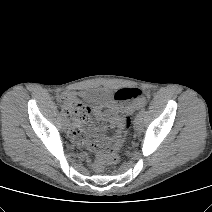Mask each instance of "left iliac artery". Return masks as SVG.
Here are the masks:
<instances>
[{
  "mask_svg": "<svg viewBox=\"0 0 212 212\" xmlns=\"http://www.w3.org/2000/svg\"><path fill=\"white\" fill-rule=\"evenodd\" d=\"M145 113H146V109L144 107L141 108L139 114L143 117L145 115Z\"/></svg>",
  "mask_w": 212,
  "mask_h": 212,
  "instance_id": "44dca946",
  "label": "left iliac artery"
}]
</instances>
